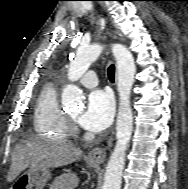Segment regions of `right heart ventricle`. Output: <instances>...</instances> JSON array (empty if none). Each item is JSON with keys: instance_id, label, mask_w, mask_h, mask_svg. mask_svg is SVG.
I'll use <instances>...</instances> for the list:
<instances>
[{"instance_id": "right-heart-ventricle-1", "label": "right heart ventricle", "mask_w": 188, "mask_h": 189, "mask_svg": "<svg viewBox=\"0 0 188 189\" xmlns=\"http://www.w3.org/2000/svg\"><path fill=\"white\" fill-rule=\"evenodd\" d=\"M33 127L38 135L54 142H63L68 137L66 115L57 98V88L46 83L36 99Z\"/></svg>"}]
</instances>
